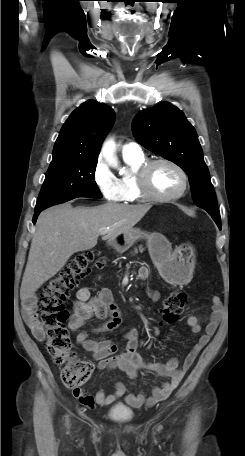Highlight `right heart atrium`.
<instances>
[{
    "instance_id": "obj_1",
    "label": "right heart atrium",
    "mask_w": 245,
    "mask_h": 456,
    "mask_svg": "<svg viewBox=\"0 0 245 456\" xmlns=\"http://www.w3.org/2000/svg\"><path fill=\"white\" fill-rule=\"evenodd\" d=\"M92 178L97 189L106 200L112 202L121 200L122 191L119 180L101 158L97 160L93 168Z\"/></svg>"
}]
</instances>
